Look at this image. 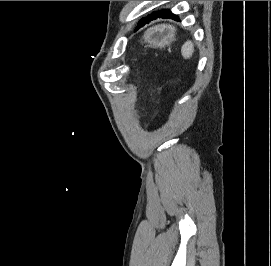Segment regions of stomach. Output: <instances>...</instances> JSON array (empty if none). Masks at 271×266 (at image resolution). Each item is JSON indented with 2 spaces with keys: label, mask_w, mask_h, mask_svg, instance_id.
<instances>
[{
  "label": "stomach",
  "mask_w": 271,
  "mask_h": 266,
  "mask_svg": "<svg viewBox=\"0 0 271 266\" xmlns=\"http://www.w3.org/2000/svg\"><path fill=\"white\" fill-rule=\"evenodd\" d=\"M143 39L149 47L163 48L174 40V31L170 27L158 26L147 31Z\"/></svg>",
  "instance_id": "obj_1"
}]
</instances>
